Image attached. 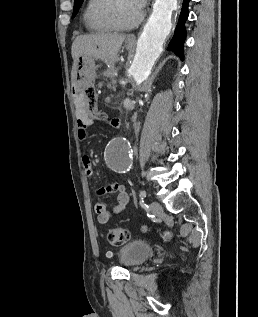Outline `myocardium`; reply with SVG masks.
<instances>
[{"mask_svg": "<svg viewBox=\"0 0 258 317\" xmlns=\"http://www.w3.org/2000/svg\"><path fill=\"white\" fill-rule=\"evenodd\" d=\"M124 2L130 3L131 5H133L137 11L135 22L133 23L132 26L127 28L119 26L114 16V12L116 8L121 3H124ZM98 17L104 24L109 26L112 30L122 32V31L132 30L138 27V25L141 23L143 19V11L141 10V8L139 7V5L136 3L135 0H107L99 7Z\"/></svg>", "mask_w": 258, "mask_h": 317, "instance_id": "myocardium-1", "label": "myocardium"}]
</instances>
